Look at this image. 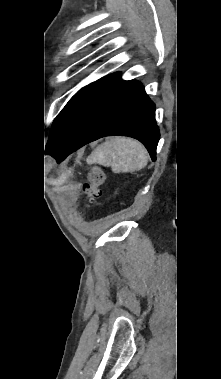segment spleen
<instances>
[{
  "instance_id": "obj_1",
  "label": "spleen",
  "mask_w": 221,
  "mask_h": 379,
  "mask_svg": "<svg viewBox=\"0 0 221 379\" xmlns=\"http://www.w3.org/2000/svg\"><path fill=\"white\" fill-rule=\"evenodd\" d=\"M148 153L144 146L131 138L114 137L100 146L87 158L88 164L111 167L114 173H133L144 168Z\"/></svg>"
}]
</instances>
